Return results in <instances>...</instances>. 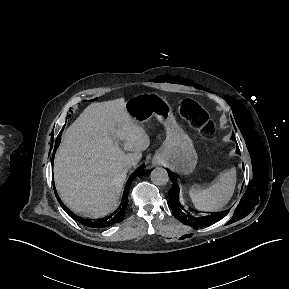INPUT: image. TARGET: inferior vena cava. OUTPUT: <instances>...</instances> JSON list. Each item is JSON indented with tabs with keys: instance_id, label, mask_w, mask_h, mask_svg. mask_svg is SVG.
<instances>
[{
	"instance_id": "602c4592",
	"label": "inferior vena cava",
	"mask_w": 289,
	"mask_h": 289,
	"mask_svg": "<svg viewBox=\"0 0 289 289\" xmlns=\"http://www.w3.org/2000/svg\"><path fill=\"white\" fill-rule=\"evenodd\" d=\"M135 164H136V161L132 160L127 163V166L128 168H130L131 166H134Z\"/></svg>"
}]
</instances>
